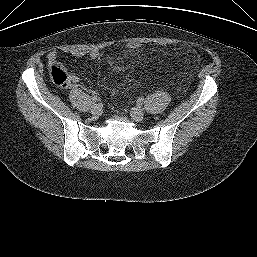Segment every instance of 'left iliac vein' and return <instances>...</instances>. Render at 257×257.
I'll return each instance as SVG.
<instances>
[{"label":"left iliac vein","mask_w":257,"mask_h":257,"mask_svg":"<svg viewBox=\"0 0 257 257\" xmlns=\"http://www.w3.org/2000/svg\"><path fill=\"white\" fill-rule=\"evenodd\" d=\"M130 114L132 119L136 122H140L144 118V111L139 107L132 108Z\"/></svg>","instance_id":"left-iliac-vein-1"}]
</instances>
